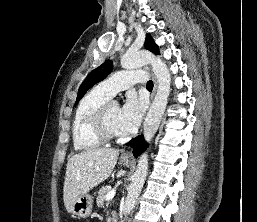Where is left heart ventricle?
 <instances>
[{"mask_svg":"<svg viewBox=\"0 0 257 222\" xmlns=\"http://www.w3.org/2000/svg\"><path fill=\"white\" fill-rule=\"evenodd\" d=\"M120 116H121V107L119 105L113 106L109 112L108 126L112 132L117 134H121L118 126Z\"/></svg>","mask_w":257,"mask_h":222,"instance_id":"obj_1","label":"left heart ventricle"}]
</instances>
